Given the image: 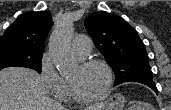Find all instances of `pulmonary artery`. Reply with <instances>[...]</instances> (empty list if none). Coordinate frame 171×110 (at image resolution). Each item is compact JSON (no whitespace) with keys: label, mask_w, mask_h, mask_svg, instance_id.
<instances>
[{"label":"pulmonary artery","mask_w":171,"mask_h":110,"mask_svg":"<svg viewBox=\"0 0 171 110\" xmlns=\"http://www.w3.org/2000/svg\"><path fill=\"white\" fill-rule=\"evenodd\" d=\"M73 51L79 58H83L88 55L92 49V41L86 36H76L72 43Z\"/></svg>","instance_id":"e3ab8cb5"}]
</instances>
